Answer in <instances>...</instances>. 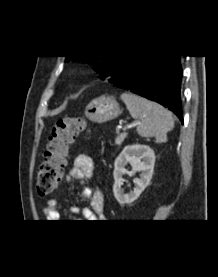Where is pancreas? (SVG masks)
Returning <instances> with one entry per match:
<instances>
[{
    "label": "pancreas",
    "mask_w": 218,
    "mask_h": 277,
    "mask_svg": "<svg viewBox=\"0 0 218 277\" xmlns=\"http://www.w3.org/2000/svg\"><path fill=\"white\" fill-rule=\"evenodd\" d=\"M126 137H127L126 132H124L122 134H118V136L115 139V145L120 146Z\"/></svg>",
    "instance_id": "1"
}]
</instances>
